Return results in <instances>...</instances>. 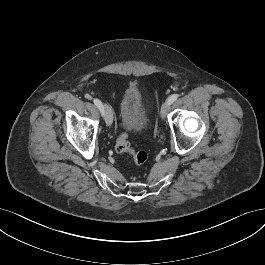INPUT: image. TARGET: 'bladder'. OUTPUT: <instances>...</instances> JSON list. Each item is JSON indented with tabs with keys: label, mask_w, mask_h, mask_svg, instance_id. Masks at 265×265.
<instances>
[{
	"label": "bladder",
	"mask_w": 265,
	"mask_h": 265,
	"mask_svg": "<svg viewBox=\"0 0 265 265\" xmlns=\"http://www.w3.org/2000/svg\"><path fill=\"white\" fill-rule=\"evenodd\" d=\"M120 118L128 132H139L147 126L150 115L142 102V94L138 87L129 86L124 91Z\"/></svg>",
	"instance_id": "bladder-1"
}]
</instances>
